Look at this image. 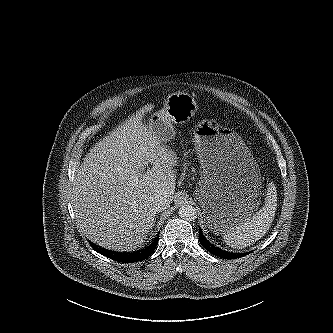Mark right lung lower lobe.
Wrapping results in <instances>:
<instances>
[{"mask_svg": "<svg viewBox=\"0 0 333 333\" xmlns=\"http://www.w3.org/2000/svg\"><path fill=\"white\" fill-rule=\"evenodd\" d=\"M159 241V235H157L156 238L149 244L148 246L144 247L141 250L134 251V252H115L106 250L104 248H101L100 246L91 243V247L98 253L106 256L107 258H110L112 260L118 261V262H125V263H134L137 261H141L147 257H149L155 250L157 243Z\"/></svg>", "mask_w": 333, "mask_h": 333, "instance_id": "right-lung-lower-lobe-1", "label": "right lung lower lobe"}]
</instances>
